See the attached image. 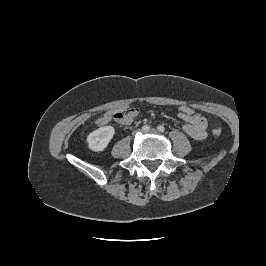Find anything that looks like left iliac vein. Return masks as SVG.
Listing matches in <instances>:
<instances>
[{
	"label": "left iliac vein",
	"mask_w": 266,
	"mask_h": 266,
	"mask_svg": "<svg viewBox=\"0 0 266 266\" xmlns=\"http://www.w3.org/2000/svg\"><path fill=\"white\" fill-rule=\"evenodd\" d=\"M149 133H152V134H156L157 133V130L156 129H151L150 131H148Z\"/></svg>",
	"instance_id": "4c4485c4"
}]
</instances>
